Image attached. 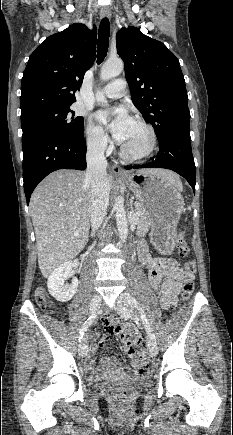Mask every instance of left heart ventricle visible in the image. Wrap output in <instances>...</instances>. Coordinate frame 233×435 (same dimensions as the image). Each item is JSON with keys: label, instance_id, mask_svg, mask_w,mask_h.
<instances>
[{"label": "left heart ventricle", "instance_id": "obj_1", "mask_svg": "<svg viewBox=\"0 0 233 435\" xmlns=\"http://www.w3.org/2000/svg\"><path fill=\"white\" fill-rule=\"evenodd\" d=\"M150 142L147 130L140 124L132 122L121 146L130 154H140Z\"/></svg>", "mask_w": 233, "mask_h": 435}]
</instances>
